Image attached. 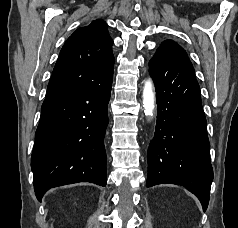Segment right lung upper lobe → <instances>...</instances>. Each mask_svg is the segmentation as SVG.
Returning a JSON list of instances; mask_svg holds the SVG:
<instances>
[{"label":"right lung upper lobe","mask_w":238,"mask_h":228,"mask_svg":"<svg viewBox=\"0 0 238 228\" xmlns=\"http://www.w3.org/2000/svg\"><path fill=\"white\" fill-rule=\"evenodd\" d=\"M113 40L101 19L77 29L65 42L48 84L46 98L100 83L113 72Z\"/></svg>","instance_id":"cb5924a9"}]
</instances>
